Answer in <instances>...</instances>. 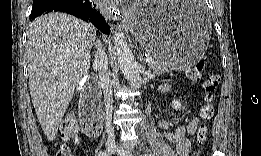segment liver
Wrapping results in <instances>:
<instances>
[{"label":"liver","mask_w":261,"mask_h":156,"mask_svg":"<svg viewBox=\"0 0 261 156\" xmlns=\"http://www.w3.org/2000/svg\"><path fill=\"white\" fill-rule=\"evenodd\" d=\"M96 29L74 16L52 12L27 32V67L32 103L42 130L53 141L75 88L90 68Z\"/></svg>","instance_id":"6515ba94"}]
</instances>
